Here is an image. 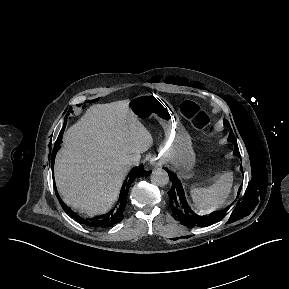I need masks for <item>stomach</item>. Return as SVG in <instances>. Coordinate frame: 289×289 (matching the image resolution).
Wrapping results in <instances>:
<instances>
[{
	"mask_svg": "<svg viewBox=\"0 0 289 289\" xmlns=\"http://www.w3.org/2000/svg\"><path fill=\"white\" fill-rule=\"evenodd\" d=\"M129 107L138 119L149 116L158 120L165 132L164 158L181 172H192L196 162L192 141L173 106L159 96L148 94L130 100Z\"/></svg>",
	"mask_w": 289,
	"mask_h": 289,
	"instance_id": "obj_1",
	"label": "stomach"
}]
</instances>
